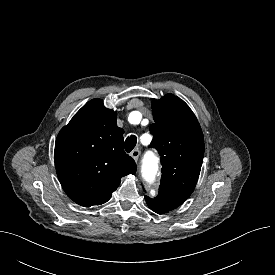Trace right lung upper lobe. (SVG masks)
Masks as SVG:
<instances>
[{
  "mask_svg": "<svg viewBox=\"0 0 275 275\" xmlns=\"http://www.w3.org/2000/svg\"><path fill=\"white\" fill-rule=\"evenodd\" d=\"M116 113L100 99L87 102L58 134L55 167L66 194L91 207L107 202L120 179L135 174L136 164L123 150V129Z\"/></svg>",
  "mask_w": 275,
  "mask_h": 275,
  "instance_id": "1",
  "label": "right lung upper lobe"
}]
</instances>
